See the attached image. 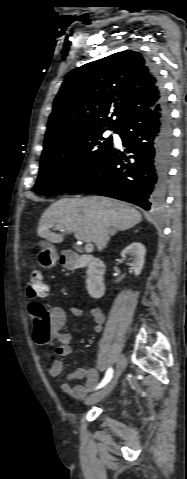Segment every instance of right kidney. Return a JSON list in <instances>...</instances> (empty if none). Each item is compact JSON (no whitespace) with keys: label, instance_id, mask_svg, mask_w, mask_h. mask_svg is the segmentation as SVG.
Returning <instances> with one entry per match:
<instances>
[{"label":"right kidney","instance_id":"obj_1","mask_svg":"<svg viewBox=\"0 0 187 479\" xmlns=\"http://www.w3.org/2000/svg\"><path fill=\"white\" fill-rule=\"evenodd\" d=\"M146 249L143 244L134 242L127 246L121 253L123 257L130 256V266L136 276L140 275L145 261Z\"/></svg>","mask_w":187,"mask_h":479}]
</instances>
